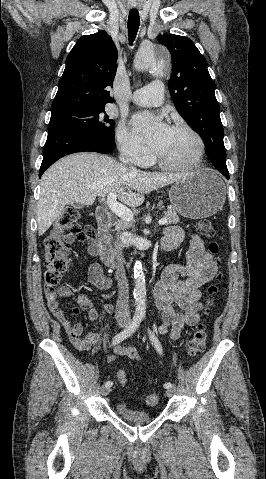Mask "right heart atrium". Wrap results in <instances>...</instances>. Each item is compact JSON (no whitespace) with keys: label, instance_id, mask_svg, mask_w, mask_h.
Here are the masks:
<instances>
[{"label":"right heart atrium","instance_id":"1","mask_svg":"<svg viewBox=\"0 0 266 479\" xmlns=\"http://www.w3.org/2000/svg\"><path fill=\"white\" fill-rule=\"evenodd\" d=\"M116 138L120 154L126 161L139 166L146 165L150 161L146 148L135 139L124 125H119Z\"/></svg>","mask_w":266,"mask_h":479}]
</instances>
